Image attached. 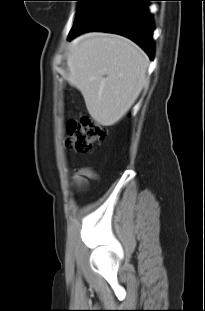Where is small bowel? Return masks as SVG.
<instances>
[{"label":"small bowel","mask_w":205,"mask_h":311,"mask_svg":"<svg viewBox=\"0 0 205 311\" xmlns=\"http://www.w3.org/2000/svg\"><path fill=\"white\" fill-rule=\"evenodd\" d=\"M97 172L90 167H79L75 169L71 176L72 187L76 190L84 189L90 180H98Z\"/></svg>","instance_id":"1"}]
</instances>
